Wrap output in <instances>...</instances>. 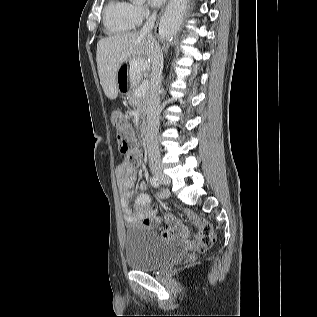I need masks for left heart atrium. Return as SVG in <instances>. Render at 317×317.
Here are the masks:
<instances>
[{
    "label": "left heart atrium",
    "instance_id": "39dd6f15",
    "mask_svg": "<svg viewBox=\"0 0 317 317\" xmlns=\"http://www.w3.org/2000/svg\"><path fill=\"white\" fill-rule=\"evenodd\" d=\"M165 0H149L153 6H160Z\"/></svg>",
    "mask_w": 317,
    "mask_h": 317
}]
</instances>
